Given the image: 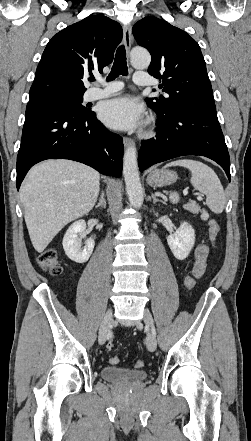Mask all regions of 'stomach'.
<instances>
[{"mask_svg":"<svg viewBox=\"0 0 251 441\" xmlns=\"http://www.w3.org/2000/svg\"><path fill=\"white\" fill-rule=\"evenodd\" d=\"M177 174L171 170L153 169L147 176V182L152 187H163L174 183Z\"/></svg>","mask_w":251,"mask_h":441,"instance_id":"obj_1","label":"stomach"}]
</instances>
